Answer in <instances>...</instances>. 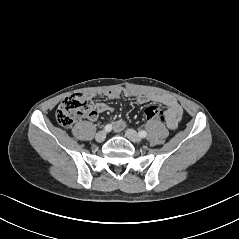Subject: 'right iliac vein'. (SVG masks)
I'll return each instance as SVG.
<instances>
[{
  "instance_id": "obj_1",
  "label": "right iliac vein",
  "mask_w": 239,
  "mask_h": 239,
  "mask_svg": "<svg viewBox=\"0 0 239 239\" xmlns=\"http://www.w3.org/2000/svg\"><path fill=\"white\" fill-rule=\"evenodd\" d=\"M95 139L97 142H103L106 139V132L100 131L96 134Z\"/></svg>"
}]
</instances>
